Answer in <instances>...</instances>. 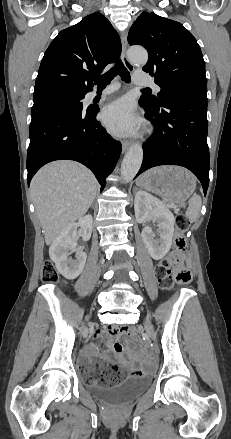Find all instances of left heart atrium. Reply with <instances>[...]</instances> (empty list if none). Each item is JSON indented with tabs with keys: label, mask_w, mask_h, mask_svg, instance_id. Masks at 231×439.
Listing matches in <instances>:
<instances>
[{
	"label": "left heart atrium",
	"mask_w": 231,
	"mask_h": 439,
	"mask_svg": "<svg viewBox=\"0 0 231 439\" xmlns=\"http://www.w3.org/2000/svg\"><path fill=\"white\" fill-rule=\"evenodd\" d=\"M101 118L105 126L117 135L132 134L140 125L132 102L126 98L118 99L107 105L102 111Z\"/></svg>",
	"instance_id": "obj_1"
}]
</instances>
